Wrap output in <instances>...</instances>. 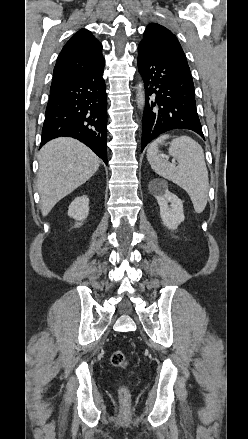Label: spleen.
Instances as JSON below:
<instances>
[{
    "label": "spleen",
    "mask_w": 248,
    "mask_h": 439,
    "mask_svg": "<svg viewBox=\"0 0 248 439\" xmlns=\"http://www.w3.org/2000/svg\"><path fill=\"white\" fill-rule=\"evenodd\" d=\"M166 138L169 135L161 136L148 147L149 164L158 175L183 188L190 196L195 212L200 214L207 205L209 190L204 151L201 145L188 136L174 138L168 152L177 159L176 166L158 153V144Z\"/></svg>",
    "instance_id": "1"
}]
</instances>
